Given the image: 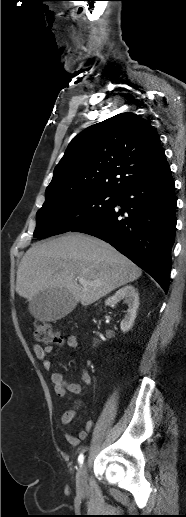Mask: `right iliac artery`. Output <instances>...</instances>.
<instances>
[{
  "label": "right iliac artery",
  "instance_id": "obj_1",
  "mask_svg": "<svg viewBox=\"0 0 186 517\" xmlns=\"http://www.w3.org/2000/svg\"><path fill=\"white\" fill-rule=\"evenodd\" d=\"M83 461H84V455L83 454H80L79 457H78V462L79 464H83Z\"/></svg>",
  "mask_w": 186,
  "mask_h": 517
}]
</instances>
